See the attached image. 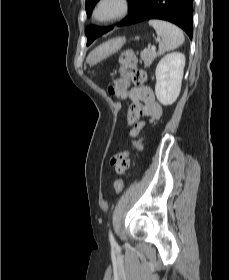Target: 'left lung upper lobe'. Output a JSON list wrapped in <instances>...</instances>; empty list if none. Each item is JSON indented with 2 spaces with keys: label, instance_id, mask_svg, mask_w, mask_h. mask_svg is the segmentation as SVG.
<instances>
[{
  "label": "left lung upper lobe",
  "instance_id": "left-lung-upper-lobe-1",
  "mask_svg": "<svg viewBox=\"0 0 229 280\" xmlns=\"http://www.w3.org/2000/svg\"><path fill=\"white\" fill-rule=\"evenodd\" d=\"M98 0H86V12L87 15L90 16L91 12L94 8L95 3ZM132 2V4H134V2L136 0H130ZM112 27H97V26H88L85 30V34L88 38L87 40V45H89L90 43L93 42L94 39H96L97 37H99L100 35L108 32L109 30H111Z\"/></svg>",
  "mask_w": 229,
  "mask_h": 280
}]
</instances>
